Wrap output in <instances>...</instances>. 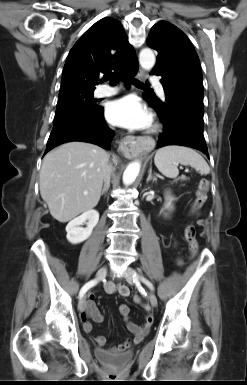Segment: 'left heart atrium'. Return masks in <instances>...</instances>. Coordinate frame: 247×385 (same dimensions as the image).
Masks as SVG:
<instances>
[{
	"instance_id": "left-heart-atrium-1",
	"label": "left heart atrium",
	"mask_w": 247,
	"mask_h": 385,
	"mask_svg": "<svg viewBox=\"0 0 247 385\" xmlns=\"http://www.w3.org/2000/svg\"><path fill=\"white\" fill-rule=\"evenodd\" d=\"M105 114L113 125L130 130L146 129L152 121L148 109L131 95L111 101L106 107Z\"/></svg>"
}]
</instances>
